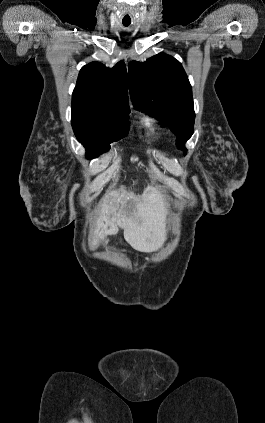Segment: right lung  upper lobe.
<instances>
[{"label":"right lung upper lobe","mask_w":265,"mask_h":423,"mask_svg":"<svg viewBox=\"0 0 265 423\" xmlns=\"http://www.w3.org/2000/svg\"><path fill=\"white\" fill-rule=\"evenodd\" d=\"M72 111H82L107 120L128 117L129 100L125 63L113 68L91 62L80 70L72 94Z\"/></svg>","instance_id":"obj_1"}]
</instances>
